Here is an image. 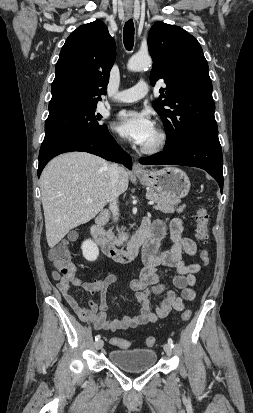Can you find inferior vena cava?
Here are the masks:
<instances>
[{
  "instance_id": "1",
  "label": "inferior vena cava",
  "mask_w": 253,
  "mask_h": 413,
  "mask_svg": "<svg viewBox=\"0 0 253 413\" xmlns=\"http://www.w3.org/2000/svg\"><path fill=\"white\" fill-rule=\"evenodd\" d=\"M119 171H120V167L117 163L109 164L108 174H109L111 185L113 186L112 197L109 201L110 202L109 208H110V210L113 214V220L114 221L118 219L117 199L119 197V192H118L116 186H117L118 179H119Z\"/></svg>"
}]
</instances>
